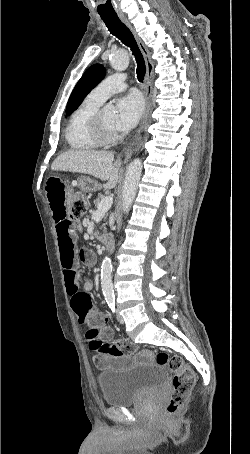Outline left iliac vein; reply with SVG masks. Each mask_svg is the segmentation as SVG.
<instances>
[{"label":"left iliac vein","instance_id":"4c4485c4","mask_svg":"<svg viewBox=\"0 0 250 454\" xmlns=\"http://www.w3.org/2000/svg\"><path fill=\"white\" fill-rule=\"evenodd\" d=\"M116 316H117V320L123 324L124 323V319L123 317L121 316V314L119 313V310L116 311Z\"/></svg>","mask_w":250,"mask_h":454}]
</instances>
